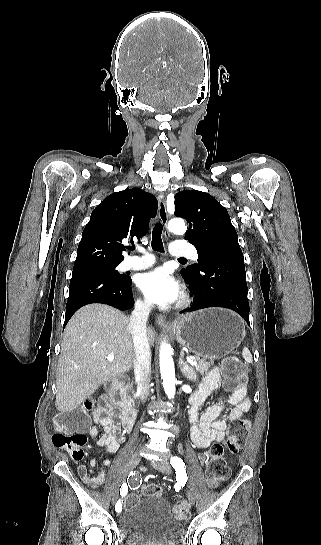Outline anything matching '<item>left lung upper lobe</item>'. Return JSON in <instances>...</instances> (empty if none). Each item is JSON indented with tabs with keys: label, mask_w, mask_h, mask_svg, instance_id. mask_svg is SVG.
<instances>
[{
	"label": "left lung upper lobe",
	"mask_w": 321,
	"mask_h": 545,
	"mask_svg": "<svg viewBox=\"0 0 321 545\" xmlns=\"http://www.w3.org/2000/svg\"><path fill=\"white\" fill-rule=\"evenodd\" d=\"M175 216L185 218L189 229L184 239L192 243L201 255L225 244L239 245L238 236L227 210L210 194L184 190L175 195ZM198 264L181 270L182 276L196 273Z\"/></svg>",
	"instance_id": "obj_1"
}]
</instances>
